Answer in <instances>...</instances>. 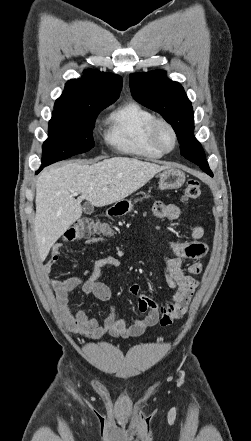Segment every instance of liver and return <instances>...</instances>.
Segmentation results:
<instances>
[{
    "label": "liver",
    "mask_w": 251,
    "mask_h": 441,
    "mask_svg": "<svg viewBox=\"0 0 251 441\" xmlns=\"http://www.w3.org/2000/svg\"><path fill=\"white\" fill-rule=\"evenodd\" d=\"M170 167L135 158L113 157L92 165L66 163L42 171L36 182L34 221L40 260L46 259L54 243L81 217L82 200L96 207L113 204ZM73 192L81 196L75 199Z\"/></svg>",
    "instance_id": "liver-1"
}]
</instances>
